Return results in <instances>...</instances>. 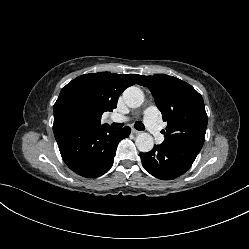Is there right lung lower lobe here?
I'll return each mask as SVG.
<instances>
[{"mask_svg": "<svg viewBox=\"0 0 249 249\" xmlns=\"http://www.w3.org/2000/svg\"><path fill=\"white\" fill-rule=\"evenodd\" d=\"M53 131L67 166L83 177L95 178L111 168L118 143L128 137L131 130L128 126L119 130L59 126Z\"/></svg>", "mask_w": 249, "mask_h": 249, "instance_id": "98d812e1", "label": "right lung lower lobe"}]
</instances>
